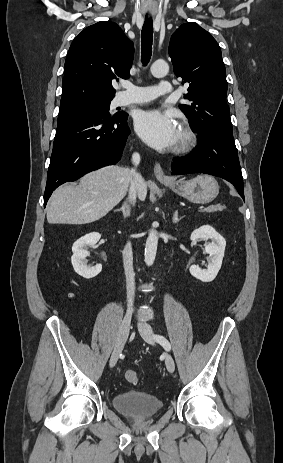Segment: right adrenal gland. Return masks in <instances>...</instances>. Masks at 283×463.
<instances>
[{
    "label": "right adrenal gland",
    "instance_id": "1",
    "mask_svg": "<svg viewBox=\"0 0 283 463\" xmlns=\"http://www.w3.org/2000/svg\"><path fill=\"white\" fill-rule=\"evenodd\" d=\"M115 211H121L123 214V217L126 218L130 215V204L128 200L126 199L120 209H116Z\"/></svg>",
    "mask_w": 283,
    "mask_h": 463
}]
</instances>
